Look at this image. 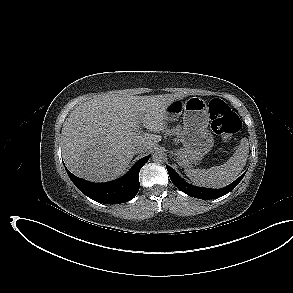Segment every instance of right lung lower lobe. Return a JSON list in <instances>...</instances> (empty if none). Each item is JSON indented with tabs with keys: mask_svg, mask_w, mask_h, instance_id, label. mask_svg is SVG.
Listing matches in <instances>:
<instances>
[{
	"mask_svg": "<svg viewBox=\"0 0 293 293\" xmlns=\"http://www.w3.org/2000/svg\"><path fill=\"white\" fill-rule=\"evenodd\" d=\"M149 157L138 160L125 176L107 183H92L76 177L67 168L66 171L77 188L89 198L104 204H119L130 201L137 194L139 171Z\"/></svg>",
	"mask_w": 293,
	"mask_h": 293,
	"instance_id": "right-lung-lower-lobe-1",
	"label": "right lung lower lobe"
}]
</instances>
